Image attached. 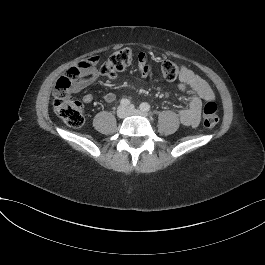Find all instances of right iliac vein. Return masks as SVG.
Masks as SVG:
<instances>
[{"mask_svg":"<svg viewBox=\"0 0 265 265\" xmlns=\"http://www.w3.org/2000/svg\"><path fill=\"white\" fill-rule=\"evenodd\" d=\"M128 115V110L125 106H119L118 109H117V116L120 118V119H123L125 118L126 116Z\"/></svg>","mask_w":265,"mask_h":265,"instance_id":"right-iliac-vein-1","label":"right iliac vein"}]
</instances>
